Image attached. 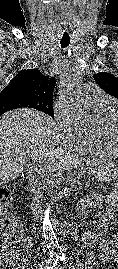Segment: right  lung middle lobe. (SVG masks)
<instances>
[{
    "instance_id": "1",
    "label": "right lung middle lobe",
    "mask_w": 118,
    "mask_h": 269,
    "mask_svg": "<svg viewBox=\"0 0 118 269\" xmlns=\"http://www.w3.org/2000/svg\"><path fill=\"white\" fill-rule=\"evenodd\" d=\"M33 108L42 111L54 118L52 104H41L21 94H5L0 96V115L16 108Z\"/></svg>"
}]
</instances>
